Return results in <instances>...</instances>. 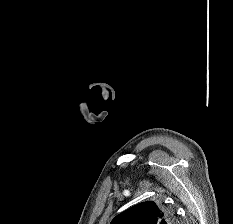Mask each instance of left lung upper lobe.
<instances>
[{
    "label": "left lung upper lobe",
    "instance_id": "left-lung-upper-lobe-1",
    "mask_svg": "<svg viewBox=\"0 0 233 224\" xmlns=\"http://www.w3.org/2000/svg\"><path fill=\"white\" fill-rule=\"evenodd\" d=\"M174 213L163 203L146 201L117 215L110 224H174Z\"/></svg>",
    "mask_w": 233,
    "mask_h": 224
}]
</instances>
